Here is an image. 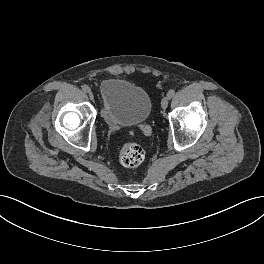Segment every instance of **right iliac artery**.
Masks as SVG:
<instances>
[{"label":"right iliac artery","instance_id":"1","mask_svg":"<svg viewBox=\"0 0 264 264\" xmlns=\"http://www.w3.org/2000/svg\"><path fill=\"white\" fill-rule=\"evenodd\" d=\"M82 90H83L84 92H89V91H90V88H89L87 85H83V86H82Z\"/></svg>","mask_w":264,"mask_h":264}]
</instances>
